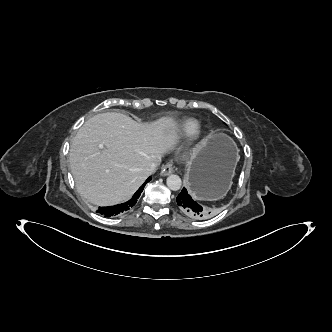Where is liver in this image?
<instances>
[{
    "mask_svg": "<svg viewBox=\"0 0 332 332\" xmlns=\"http://www.w3.org/2000/svg\"><path fill=\"white\" fill-rule=\"evenodd\" d=\"M176 127L169 117L141 125L116 112L93 116L70 146V168L78 192L98 206L127 201L148 177L146 168L175 146Z\"/></svg>",
    "mask_w": 332,
    "mask_h": 332,
    "instance_id": "liver-1",
    "label": "liver"
}]
</instances>
